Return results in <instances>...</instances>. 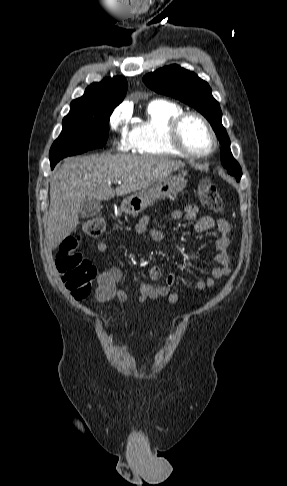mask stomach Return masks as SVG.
Instances as JSON below:
<instances>
[{"label": "stomach", "instance_id": "1", "mask_svg": "<svg viewBox=\"0 0 287 486\" xmlns=\"http://www.w3.org/2000/svg\"><path fill=\"white\" fill-rule=\"evenodd\" d=\"M186 183L187 181L183 176L169 175L155 184L125 197L121 203V210L125 214H137L156 200L181 192Z\"/></svg>", "mask_w": 287, "mask_h": 486}]
</instances>
